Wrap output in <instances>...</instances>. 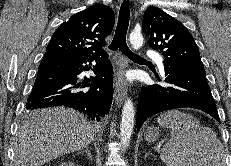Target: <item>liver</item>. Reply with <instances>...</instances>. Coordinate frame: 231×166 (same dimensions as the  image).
Segmentation results:
<instances>
[{
  "mask_svg": "<svg viewBox=\"0 0 231 166\" xmlns=\"http://www.w3.org/2000/svg\"><path fill=\"white\" fill-rule=\"evenodd\" d=\"M95 130L86 117L64 107L35 111L15 138V166H42L88 146Z\"/></svg>",
  "mask_w": 231,
  "mask_h": 166,
  "instance_id": "6515ba94",
  "label": "liver"
}]
</instances>
